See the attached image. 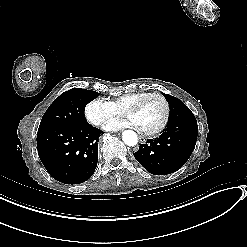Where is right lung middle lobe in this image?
Listing matches in <instances>:
<instances>
[{"instance_id": "1", "label": "right lung middle lobe", "mask_w": 247, "mask_h": 247, "mask_svg": "<svg viewBox=\"0 0 247 247\" xmlns=\"http://www.w3.org/2000/svg\"><path fill=\"white\" fill-rule=\"evenodd\" d=\"M99 93L91 90L73 88L62 93L46 110L38 131L56 126H82L86 105Z\"/></svg>"}]
</instances>
